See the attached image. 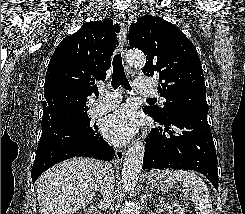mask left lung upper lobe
Instances as JSON below:
<instances>
[{"mask_svg":"<svg viewBox=\"0 0 245 214\" xmlns=\"http://www.w3.org/2000/svg\"><path fill=\"white\" fill-rule=\"evenodd\" d=\"M131 48L146 55L143 74L158 75L164 106H145L160 121H168L193 111L208 112L201 62L193 43L172 23L145 15L131 24Z\"/></svg>","mask_w":245,"mask_h":214,"instance_id":"5c2ea615","label":"left lung upper lobe"}]
</instances>
